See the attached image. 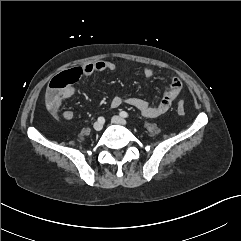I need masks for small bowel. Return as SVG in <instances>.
<instances>
[{
  "label": "small bowel",
  "mask_w": 241,
  "mask_h": 241,
  "mask_svg": "<svg viewBox=\"0 0 241 241\" xmlns=\"http://www.w3.org/2000/svg\"><path fill=\"white\" fill-rule=\"evenodd\" d=\"M85 69V76L91 75L93 73L100 72H113L116 69V65L111 61H97L93 63H88L83 66ZM144 75L150 77L153 75V69L151 67L144 68ZM183 84L177 77H173L171 79L170 85L165 90L163 97L161 100L155 104L151 105L144 99L136 98V97H128L124 98L121 96H114L110 105L113 108H118L123 104L130 105L136 109H138L141 114L148 118H156L164 113H166L174 100L182 91ZM75 90L73 87H67L59 92L53 99L47 100V109L52 117L56 118L59 113V108L62 102L68 98H70L74 94ZM62 117L65 120H72L74 118V113L71 110H64L62 112Z\"/></svg>",
  "instance_id": "c3829d8e"
}]
</instances>
